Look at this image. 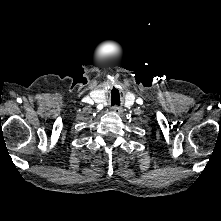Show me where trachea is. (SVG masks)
I'll return each instance as SVG.
<instances>
[{"label": "trachea", "instance_id": "3493384b", "mask_svg": "<svg viewBox=\"0 0 221 221\" xmlns=\"http://www.w3.org/2000/svg\"><path fill=\"white\" fill-rule=\"evenodd\" d=\"M119 104H120V102H112V106L119 105Z\"/></svg>", "mask_w": 221, "mask_h": 221}]
</instances>
